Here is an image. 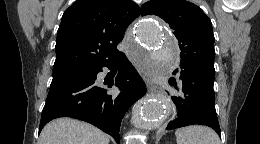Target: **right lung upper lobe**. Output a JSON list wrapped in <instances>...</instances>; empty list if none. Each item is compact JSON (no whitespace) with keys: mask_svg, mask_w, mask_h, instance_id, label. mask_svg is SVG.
I'll return each instance as SVG.
<instances>
[{"mask_svg":"<svg viewBox=\"0 0 260 144\" xmlns=\"http://www.w3.org/2000/svg\"><path fill=\"white\" fill-rule=\"evenodd\" d=\"M140 14L130 0H77L63 14L53 71L102 64L121 52L128 25Z\"/></svg>","mask_w":260,"mask_h":144,"instance_id":"1","label":"right lung upper lobe"}]
</instances>
